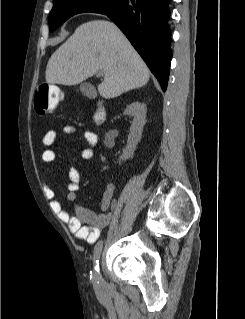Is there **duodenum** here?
I'll return each instance as SVG.
<instances>
[{
	"label": "duodenum",
	"instance_id": "1",
	"mask_svg": "<svg viewBox=\"0 0 245 319\" xmlns=\"http://www.w3.org/2000/svg\"><path fill=\"white\" fill-rule=\"evenodd\" d=\"M106 115H107L106 107L104 103L100 102L94 114V122L98 125L103 124L106 120Z\"/></svg>",
	"mask_w": 245,
	"mask_h": 319
}]
</instances>
